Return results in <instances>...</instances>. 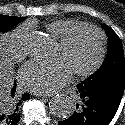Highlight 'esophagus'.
<instances>
[{
  "label": "esophagus",
  "instance_id": "34e87169",
  "mask_svg": "<svg viewBox=\"0 0 125 125\" xmlns=\"http://www.w3.org/2000/svg\"><path fill=\"white\" fill-rule=\"evenodd\" d=\"M36 96L38 97H42V98H47L49 96H52L51 94H38V93H34Z\"/></svg>",
  "mask_w": 125,
  "mask_h": 125
}]
</instances>
